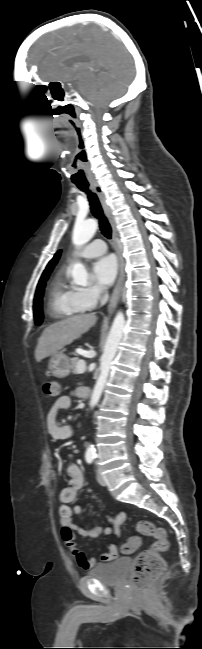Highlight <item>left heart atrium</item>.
I'll list each match as a JSON object with an SVG mask.
<instances>
[{
	"instance_id": "left-heart-atrium-1",
	"label": "left heart atrium",
	"mask_w": 202,
	"mask_h": 649,
	"mask_svg": "<svg viewBox=\"0 0 202 649\" xmlns=\"http://www.w3.org/2000/svg\"><path fill=\"white\" fill-rule=\"evenodd\" d=\"M117 262L113 255L99 258L93 265L92 273L95 281L102 286H109L117 275Z\"/></svg>"
}]
</instances>
